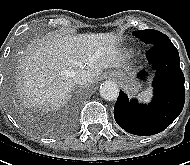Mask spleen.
<instances>
[{
  "label": "spleen",
  "mask_w": 190,
  "mask_h": 165,
  "mask_svg": "<svg viewBox=\"0 0 190 165\" xmlns=\"http://www.w3.org/2000/svg\"><path fill=\"white\" fill-rule=\"evenodd\" d=\"M150 96H151V89L148 88L139 94V99L147 102L150 99Z\"/></svg>",
  "instance_id": "3e777b00"
}]
</instances>
